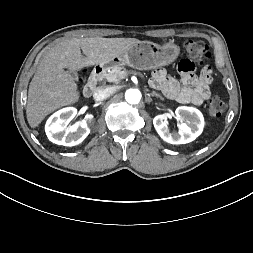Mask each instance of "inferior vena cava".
<instances>
[{
    "instance_id": "inferior-vena-cava-1",
    "label": "inferior vena cava",
    "mask_w": 253,
    "mask_h": 253,
    "mask_svg": "<svg viewBox=\"0 0 253 253\" xmlns=\"http://www.w3.org/2000/svg\"><path fill=\"white\" fill-rule=\"evenodd\" d=\"M114 93V90L111 87H99L95 90L93 97L95 100L100 101L106 99Z\"/></svg>"
}]
</instances>
